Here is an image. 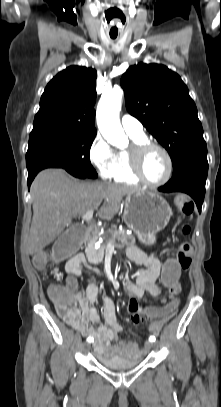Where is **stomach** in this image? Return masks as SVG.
Wrapping results in <instances>:
<instances>
[{
	"label": "stomach",
	"instance_id": "0dacf381",
	"mask_svg": "<svg viewBox=\"0 0 221 407\" xmlns=\"http://www.w3.org/2000/svg\"><path fill=\"white\" fill-rule=\"evenodd\" d=\"M172 216L168 202L156 192L140 190L126 196L123 220L145 245L155 243L156 234Z\"/></svg>",
	"mask_w": 221,
	"mask_h": 407
}]
</instances>
